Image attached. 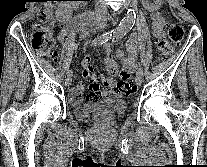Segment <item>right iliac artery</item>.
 <instances>
[{"label":"right iliac artery","mask_w":207,"mask_h":167,"mask_svg":"<svg viewBox=\"0 0 207 167\" xmlns=\"http://www.w3.org/2000/svg\"><path fill=\"white\" fill-rule=\"evenodd\" d=\"M125 30H122L121 28H118L117 30H112L111 32H106L100 36H98L97 38H95L92 41V45L93 46H97V45H102L104 43H106L109 39H111L114 34H116L117 32H124ZM72 75L71 70H67V76Z\"/></svg>","instance_id":"1"}]
</instances>
